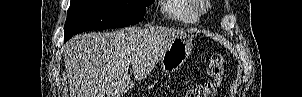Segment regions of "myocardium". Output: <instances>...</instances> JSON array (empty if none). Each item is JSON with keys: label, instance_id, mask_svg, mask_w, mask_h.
<instances>
[{"label": "myocardium", "instance_id": "f54148a6", "mask_svg": "<svg viewBox=\"0 0 302 97\" xmlns=\"http://www.w3.org/2000/svg\"><path fill=\"white\" fill-rule=\"evenodd\" d=\"M190 2L194 5V9L197 14H202L208 9L207 0H190Z\"/></svg>", "mask_w": 302, "mask_h": 97}]
</instances>
